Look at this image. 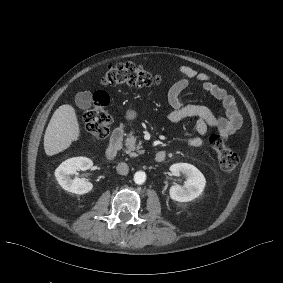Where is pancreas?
Masks as SVG:
<instances>
[{
  "label": "pancreas",
  "mask_w": 283,
  "mask_h": 283,
  "mask_svg": "<svg viewBox=\"0 0 283 283\" xmlns=\"http://www.w3.org/2000/svg\"><path fill=\"white\" fill-rule=\"evenodd\" d=\"M134 131L132 130L130 134H128V137L125 140V151L130 155L134 156L136 153L135 150L139 152L141 151V146L136 144V138L133 136Z\"/></svg>",
  "instance_id": "obj_1"
}]
</instances>
